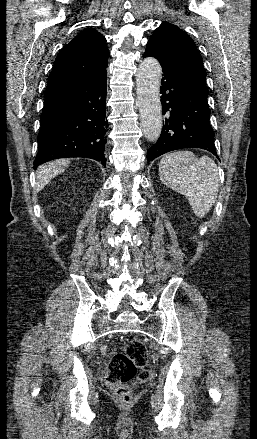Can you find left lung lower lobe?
Here are the masks:
<instances>
[{
  "instance_id": "0a47b994",
  "label": "left lung lower lobe",
  "mask_w": 257,
  "mask_h": 439,
  "mask_svg": "<svg viewBox=\"0 0 257 439\" xmlns=\"http://www.w3.org/2000/svg\"><path fill=\"white\" fill-rule=\"evenodd\" d=\"M143 56L155 57L163 70L160 93L165 118L160 138L147 151L148 162L184 148L204 149L219 159L209 121L208 91L181 69L162 61L153 48L146 47Z\"/></svg>"
}]
</instances>
